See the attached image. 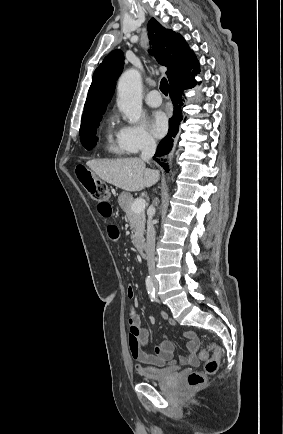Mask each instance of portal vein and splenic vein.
<instances>
[{
	"label": "portal vein and splenic vein",
	"instance_id": "18ae733b",
	"mask_svg": "<svg viewBox=\"0 0 283 434\" xmlns=\"http://www.w3.org/2000/svg\"><path fill=\"white\" fill-rule=\"evenodd\" d=\"M146 201L144 199H138L132 204V210L134 212H142L145 209Z\"/></svg>",
	"mask_w": 283,
	"mask_h": 434
}]
</instances>
